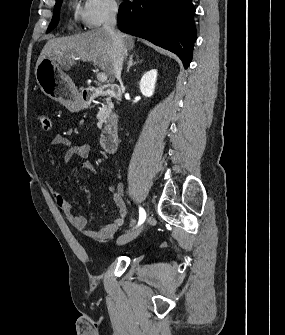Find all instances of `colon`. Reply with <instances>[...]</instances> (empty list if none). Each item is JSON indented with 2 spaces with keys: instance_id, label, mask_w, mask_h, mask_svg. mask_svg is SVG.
Masks as SVG:
<instances>
[{
  "instance_id": "colon-1",
  "label": "colon",
  "mask_w": 285,
  "mask_h": 335,
  "mask_svg": "<svg viewBox=\"0 0 285 335\" xmlns=\"http://www.w3.org/2000/svg\"><path fill=\"white\" fill-rule=\"evenodd\" d=\"M39 122L44 131H49L51 129V118L46 112H42L39 115Z\"/></svg>"
}]
</instances>
